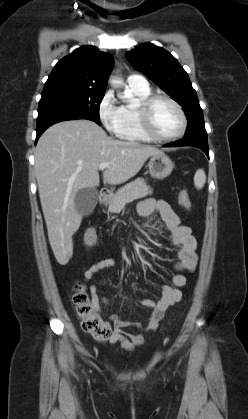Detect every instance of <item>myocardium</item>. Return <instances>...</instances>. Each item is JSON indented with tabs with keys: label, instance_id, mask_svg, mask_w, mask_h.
Wrapping results in <instances>:
<instances>
[{
	"label": "myocardium",
	"instance_id": "myocardium-1",
	"mask_svg": "<svg viewBox=\"0 0 248 419\" xmlns=\"http://www.w3.org/2000/svg\"><path fill=\"white\" fill-rule=\"evenodd\" d=\"M159 100H165L169 102L171 105L175 107V109L179 113V116L181 119V126H180L179 131L172 136H167V137L159 136L154 132L152 128L151 119H150V111L154 103H156ZM136 113H137V118H138L141 131L147 138H149L152 141L173 142L181 138L186 132V129H187L186 114L182 106L176 100H174L172 97L168 95H164V94L150 95L146 99L140 101L136 109Z\"/></svg>",
	"mask_w": 248,
	"mask_h": 419
}]
</instances>
